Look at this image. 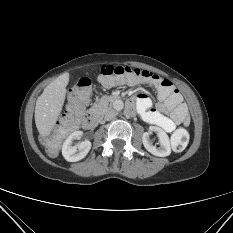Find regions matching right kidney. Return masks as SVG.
Listing matches in <instances>:
<instances>
[{"instance_id": "1", "label": "right kidney", "mask_w": 233, "mask_h": 233, "mask_svg": "<svg viewBox=\"0 0 233 233\" xmlns=\"http://www.w3.org/2000/svg\"><path fill=\"white\" fill-rule=\"evenodd\" d=\"M82 134V131H74L64 141L62 155L68 162H77L83 159L90 151L91 142L89 140H85L74 146L72 145L73 141L80 139Z\"/></svg>"}]
</instances>
